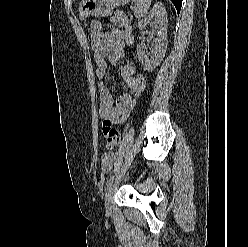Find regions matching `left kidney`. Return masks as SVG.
<instances>
[{"label":"left kidney","instance_id":"5707ae66","mask_svg":"<svg viewBox=\"0 0 248 247\" xmlns=\"http://www.w3.org/2000/svg\"><path fill=\"white\" fill-rule=\"evenodd\" d=\"M149 23H155L157 28L158 37L153 41L154 48L151 53H147L145 47L138 44L137 55L144 70L152 71L163 61L167 50L168 19L166 9L161 3H156L149 15L138 23L140 33L144 32Z\"/></svg>","mask_w":248,"mask_h":247}]
</instances>
